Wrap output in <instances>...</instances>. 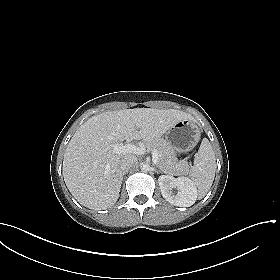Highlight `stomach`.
Wrapping results in <instances>:
<instances>
[{
  "mask_svg": "<svg viewBox=\"0 0 280 280\" xmlns=\"http://www.w3.org/2000/svg\"><path fill=\"white\" fill-rule=\"evenodd\" d=\"M199 127L190 119H184L175 123L166 132V141L181 152L190 151L200 139Z\"/></svg>",
  "mask_w": 280,
  "mask_h": 280,
  "instance_id": "stomach-1",
  "label": "stomach"
}]
</instances>
